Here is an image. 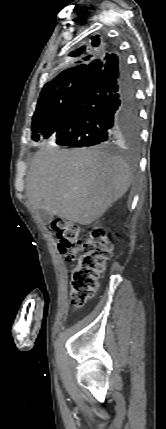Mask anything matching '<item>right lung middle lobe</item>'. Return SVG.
I'll return each mask as SVG.
<instances>
[{
	"label": "right lung middle lobe",
	"mask_w": 166,
	"mask_h": 429,
	"mask_svg": "<svg viewBox=\"0 0 166 429\" xmlns=\"http://www.w3.org/2000/svg\"><path fill=\"white\" fill-rule=\"evenodd\" d=\"M83 75H75L61 80L40 93L32 122V139L38 141L48 138L59 127L64 113L72 99ZM139 124L133 128L119 129L115 137L125 140L130 145L138 141Z\"/></svg>",
	"instance_id": "1"
}]
</instances>
